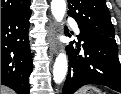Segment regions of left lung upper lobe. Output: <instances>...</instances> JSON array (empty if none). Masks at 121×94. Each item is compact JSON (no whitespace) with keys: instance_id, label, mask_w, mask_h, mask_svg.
<instances>
[{"instance_id":"obj_1","label":"left lung upper lobe","mask_w":121,"mask_h":94,"mask_svg":"<svg viewBox=\"0 0 121 94\" xmlns=\"http://www.w3.org/2000/svg\"><path fill=\"white\" fill-rule=\"evenodd\" d=\"M68 15L81 30L114 38V27L105 0H67Z\"/></svg>"}]
</instances>
